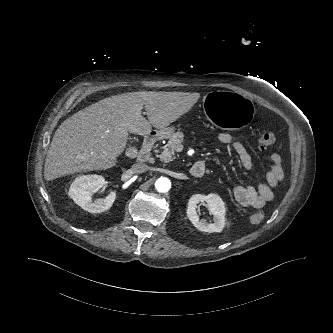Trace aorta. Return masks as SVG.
I'll return each mask as SVG.
<instances>
[{
  "label": "aorta",
  "instance_id": "aorta-1",
  "mask_svg": "<svg viewBox=\"0 0 333 333\" xmlns=\"http://www.w3.org/2000/svg\"><path fill=\"white\" fill-rule=\"evenodd\" d=\"M155 188L161 193L168 192L171 188V181L166 177H160L155 182Z\"/></svg>",
  "mask_w": 333,
  "mask_h": 333
}]
</instances>
